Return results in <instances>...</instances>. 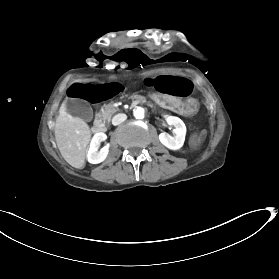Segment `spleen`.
I'll return each mask as SVG.
<instances>
[{
	"label": "spleen",
	"instance_id": "obj_1",
	"mask_svg": "<svg viewBox=\"0 0 279 279\" xmlns=\"http://www.w3.org/2000/svg\"><path fill=\"white\" fill-rule=\"evenodd\" d=\"M203 134H204V131H201V133L199 134V136H197V141H199V143H198V142H195V145H197L196 150H199V147H201V145H202V143H203V139H204ZM200 137H201V139H200Z\"/></svg>",
	"mask_w": 279,
	"mask_h": 279
}]
</instances>
